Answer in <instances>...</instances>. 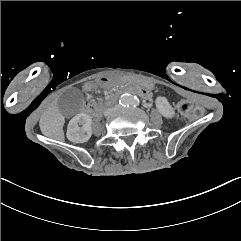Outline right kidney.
I'll return each mask as SVG.
<instances>
[{
	"label": "right kidney",
	"mask_w": 241,
	"mask_h": 241,
	"mask_svg": "<svg viewBox=\"0 0 241 241\" xmlns=\"http://www.w3.org/2000/svg\"><path fill=\"white\" fill-rule=\"evenodd\" d=\"M91 123L92 118L85 113H79L74 116L67 127L68 140L74 143L88 141L92 135Z\"/></svg>",
	"instance_id": "right-kidney-1"
}]
</instances>
